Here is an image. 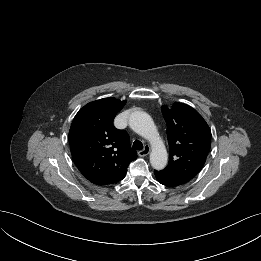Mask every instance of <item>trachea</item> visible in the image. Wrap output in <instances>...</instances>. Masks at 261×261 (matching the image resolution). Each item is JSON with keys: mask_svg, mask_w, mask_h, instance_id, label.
Segmentation results:
<instances>
[{"mask_svg": "<svg viewBox=\"0 0 261 261\" xmlns=\"http://www.w3.org/2000/svg\"><path fill=\"white\" fill-rule=\"evenodd\" d=\"M132 147H133L134 150H142L143 144H142L141 141L135 140Z\"/></svg>", "mask_w": 261, "mask_h": 261, "instance_id": "1", "label": "trachea"}]
</instances>
